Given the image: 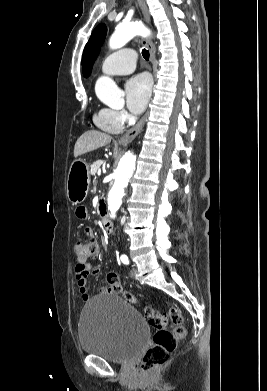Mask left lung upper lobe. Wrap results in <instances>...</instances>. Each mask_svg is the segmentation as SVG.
<instances>
[{
	"instance_id": "obj_1",
	"label": "left lung upper lobe",
	"mask_w": 267,
	"mask_h": 391,
	"mask_svg": "<svg viewBox=\"0 0 267 391\" xmlns=\"http://www.w3.org/2000/svg\"><path fill=\"white\" fill-rule=\"evenodd\" d=\"M106 33V26L104 24L98 25L92 32L91 37L85 46L82 56V70L85 77H88L91 73L92 66L99 54Z\"/></svg>"
}]
</instances>
